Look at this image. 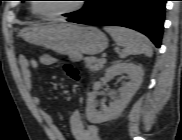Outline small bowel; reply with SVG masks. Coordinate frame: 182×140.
<instances>
[{
    "label": "small bowel",
    "instance_id": "1",
    "mask_svg": "<svg viewBox=\"0 0 182 140\" xmlns=\"http://www.w3.org/2000/svg\"><path fill=\"white\" fill-rule=\"evenodd\" d=\"M56 62V58L49 54H43L38 59L29 60L24 56H20L18 59V66L24 86L28 90H31L33 87L32 72L37 70L40 65L50 66L54 65ZM32 100L35 105L41 104V98L39 96H33ZM40 113L45 125L48 128L51 140H66L55 124L52 115L45 110H42ZM69 125L75 140H100L97 127L94 125H85L81 113L78 110L72 112L70 115Z\"/></svg>",
    "mask_w": 182,
    "mask_h": 140
}]
</instances>
